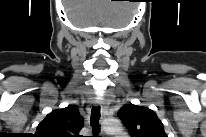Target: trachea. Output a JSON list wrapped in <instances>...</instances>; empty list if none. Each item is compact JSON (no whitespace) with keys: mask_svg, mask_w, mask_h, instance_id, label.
Segmentation results:
<instances>
[{"mask_svg":"<svg viewBox=\"0 0 206 137\" xmlns=\"http://www.w3.org/2000/svg\"><path fill=\"white\" fill-rule=\"evenodd\" d=\"M99 119H100V107H93L91 111V118H90V125L92 126L93 134L95 136L93 137H102V136H96L100 132V125H99Z\"/></svg>","mask_w":206,"mask_h":137,"instance_id":"obj_1","label":"trachea"}]
</instances>
